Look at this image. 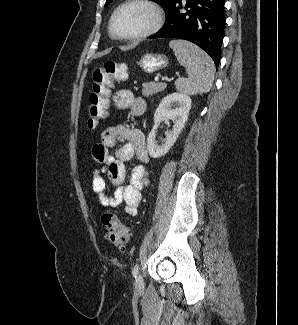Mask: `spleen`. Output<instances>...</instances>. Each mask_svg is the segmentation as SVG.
Here are the masks:
<instances>
[{
	"label": "spleen",
	"mask_w": 298,
	"mask_h": 325,
	"mask_svg": "<svg viewBox=\"0 0 298 325\" xmlns=\"http://www.w3.org/2000/svg\"><path fill=\"white\" fill-rule=\"evenodd\" d=\"M169 46L188 74V78H176L175 88L181 94L209 92L215 76L212 58L189 40H170Z\"/></svg>",
	"instance_id": "3e777b00"
}]
</instances>
